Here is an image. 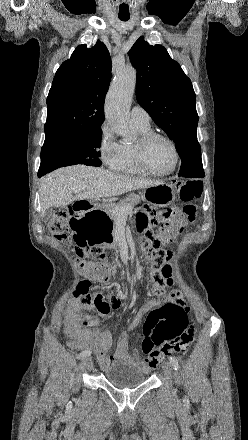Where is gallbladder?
Masks as SVG:
<instances>
[{
  "instance_id": "bac80fb5",
  "label": "gallbladder",
  "mask_w": 248,
  "mask_h": 440,
  "mask_svg": "<svg viewBox=\"0 0 248 440\" xmlns=\"http://www.w3.org/2000/svg\"><path fill=\"white\" fill-rule=\"evenodd\" d=\"M53 214H54L53 207H49L48 209H46L45 213L43 214V221L47 222L48 220H50Z\"/></svg>"
}]
</instances>
